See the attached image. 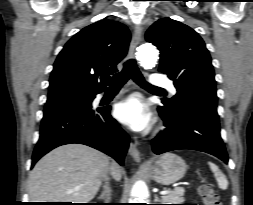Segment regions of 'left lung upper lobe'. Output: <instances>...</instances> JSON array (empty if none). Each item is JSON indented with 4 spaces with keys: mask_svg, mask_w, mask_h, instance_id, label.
Instances as JSON below:
<instances>
[{
    "mask_svg": "<svg viewBox=\"0 0 253 205\" xmlns=\"http://www.w3.org/2000/svg\"><path fill=\"white\" fill-rule=\"evenodd\" d=\"M146 40L160 50L159 72L167 74L177 94L163 103L171 111L206 103L217 107L216 84L211 57L202 38L187 25L170 18L156 21Z\"/></svg>",
    "mask_w": 253,
    "mask_h": 205,
    "instance_id": "5c2ea615",
    "label": "left lung upper lobe"
}]
</instances>
